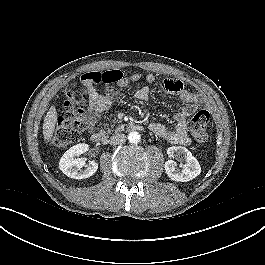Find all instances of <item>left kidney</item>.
Listing matches in <instances>:
<instances>
[{"instance_id":"obj_1","label":"left kidney","mask_w":265,"mask_h":265,"mask_svg":"<svg viewBox=\"0 0 265 265\" xmlns=\"http://www.w3.org/2000/svg\"><path fill=\"white\" fill-rule=\"evenodd\" d=\"M167 154L170 158H180L185 161V164L181 165V170L176 168V163L173 160L170 159L165 162V172L171 180L176 182H187L201 173L199 162L187 148L172 146L168 148Z\"/></svg>"}]
</instances>
